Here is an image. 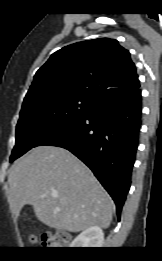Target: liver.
I'll return each instance as SVG.
<instances>
[{
    "mask_svg": "<svg viewBox=\"0 0 162 261\" xmlns=\"http://www.w3.org/2000/svg\"><path fill=\"white\" fill-rule=\"evenodd\" d=\"M8 183V202L16 219L30 204L38 220L58 230L80 232L111 224L112 199L91 170L64 148H33L13 164Z\"/></svg>",
    "mask_w": 162,
    "mask_h": 261,
    "instance_id": "1",
    "label": "liver"
}]
</instances>
